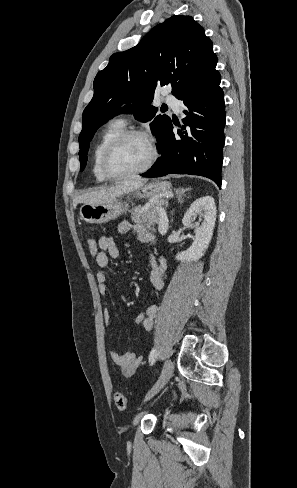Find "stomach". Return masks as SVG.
<instances>
[{
	"label": "stomach",
	"mask_w": 297,
	"mask_h": 488,
	"mask_svg": "<svg viewBox=\"0 0 297 488\" xmlns=\"http://www.w3.org/2000/svg\"><path fill=\"white\" fill-rule=\"evenodd\" d=\"M171 188L168 181H154L133 191L138 198L158 200ZM128 204L119 199L105 204H83L80 208L81 218L90 224L107 223L116 219L127 210Z\"/></svg>",
	"instance_id": "stomach-1"
}]
</instances>
